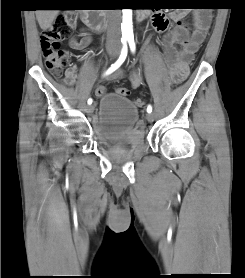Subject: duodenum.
Here are the masks:
<instances>
[{"instance_id":"1","label":"duodenum","mask_w":245,"mask_h":278,"mask_svg":"<svg viewBox=\"0 0 245 278\" xmlns=\"http://www.w3.org/2000/svg\"><path fill=\"white\" fill-rule=\"evenodd\" d=\"M147 17V12L144 10L138 11V19L143 20ZM83 22L94 30H101L104 28L105 22L101 13L94 10H87L82 14Z\"/></svg>"}]
</instances>
